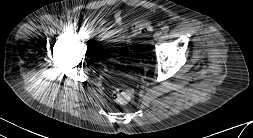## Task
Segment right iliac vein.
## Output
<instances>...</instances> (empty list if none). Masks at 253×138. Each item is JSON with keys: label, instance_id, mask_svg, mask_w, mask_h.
<instances>
[{"label": "right iliac vein", "instance_id": "63e3f726", "mask_svg": "<svg viewBox=\"0 0 253 138\" xmlns=\"http://www.w3.org/2000/svg\"><path fill=\"white\" fill-rule=\"evenodd\" d=\"M75 33H76L77 35H81V34L83 33V30H82L80 27H77V28L75 29Z\"/></svg>", "mask_w": 253, "mask_h": 138}]
</instances>
